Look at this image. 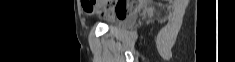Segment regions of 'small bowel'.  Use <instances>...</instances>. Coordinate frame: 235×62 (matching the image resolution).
<instances>
[{
  "label": "small bowel",
  "instance_id": "small-bowel-1",
  "mask_svg": "<svg viewBox=\"0 0 235 62\" xmlns=\"http://www.w3.org/2000/svg\"><path fill=\"white\" fill-rule=\"evenodd\" d=\"M132 5L131 4H127V3H118L117 4V6L114 8V9H111V8H109V9H107L106 11H105V16L106 17H108V18H110V17H114L115 15L117 16V7H126V8H129V7H131ZM84 11L87 13V14H89V13H91L92 12V8L90 7V6H88V5H85L84 6ZM118 17V16H117ZM119 18V17H118Z\"/></svg>",
  "mask_w": 235,
  "mask_h": 62
}]
</instances>
